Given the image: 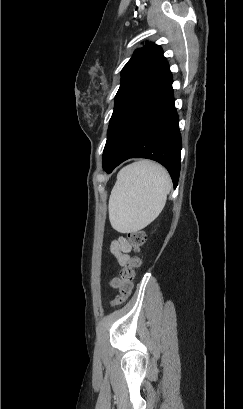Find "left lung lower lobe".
Segmentation results:
<instances>
[{
    "instance_id": "1",
    "label": "left lung lower lobe",
    "mask_w": 243,
    "mask_h": 409,
    "mask_svg": "<svg viewBox=\"0 0 243 409\" xmlns=\"http://www.w3.org/2000/svg\"><path fill=\"white\" fill-rule=\"evenodd\" d=\"M172 75L166 62L148 81L116 125L117 154L107 173L129 158H148L169 172L174 188L180 173L181 135Z\"/></svg>"
}]
</instances>
